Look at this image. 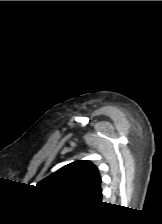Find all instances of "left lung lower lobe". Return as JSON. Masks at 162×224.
<instances>
[{"label":"left lung lower lobe","instance_id":"1","mask_svg":"<svg viewBox=\"0 0 162 224\" xmlns=\"http://www.w3.org/2000/svg\"><path fill=\"white\" fill-rule=\"evenodd\" d=\"M101 197H102V190L100 189L96 193H94L90 198L96 202H101Z\"/></svg>","mask_w":162,"mask_h":224}]
</instances>
